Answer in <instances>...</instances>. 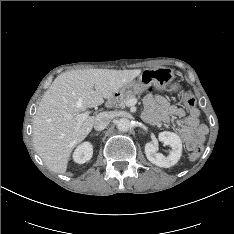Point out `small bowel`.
Returning <instances> with one entry per match:
<instances>
[{"label": "small bowel", "mask_w": 234, "mask_h": 234, "mask_svg": "<svg viewBox=\"0 0 234 234\" xmlns=\"http://www.w3.org/2000/svg\"><path fill=\"white\" fill-rule=\"evenodd\" d=\"M144 105L143 118L149 124L160 125L176 120L179 125V134L189 148L203 142L208 128L200 123L197 109L186 112L176 105L169 104L161 96H147Z\"/></svg>", "instance_id": "c3829d8e"}]
</instances>
